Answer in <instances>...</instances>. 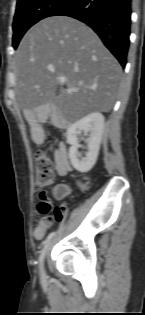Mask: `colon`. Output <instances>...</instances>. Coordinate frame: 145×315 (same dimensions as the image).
<instances>
[{"label":"colon","mask_w":145,"mask_h":315,"mask_svg":"<svg viewBox=\"0 0 145 315\" xmlns=\"http://www.w3.org/2000/svg\"><path fill=\"white\" fill-rule=\"evenodd\" d=\"M35 167L38 186L50 184L53 180V163L44 151L39 150L35 153ZM51 208H54V205L47 199L46 195L42 193L39 210L46 212ZM63 209L64 206L55 208V218L60 216V212Z\"/></svg>","instance_id":"5ec220e1"}]
</instances>
